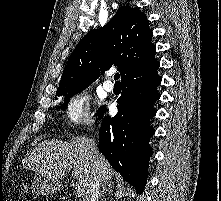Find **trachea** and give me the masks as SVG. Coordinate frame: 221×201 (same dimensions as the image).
<instances>
[{
  "mask_svg": "<svg viewBox=\"0 0 221 201\" xmlns=\"http://www.w3.org/2000/svg\"><path fill=\"white\" fill-rule=\"evenodd\" d=\"M119 78H120L119 73H116V74L114 75V79H115L116 83H119Z\"/></svg>",
  "mask_w": 221,
  "mask_h": 201,
  "instance_id": "1",
  "label": "trachea"
}]
</instances>
